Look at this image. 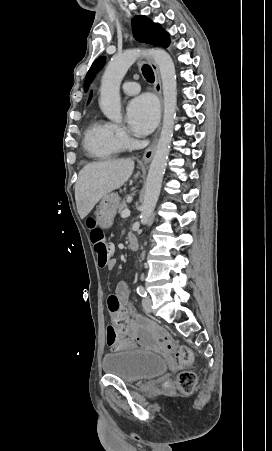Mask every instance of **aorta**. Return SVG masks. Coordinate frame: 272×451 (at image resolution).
Here are the masks:
<instances>
[{"label": "aorta", "instance_id": "aorta-1", "mask_svg": "<svg viewBox=\"0 0 272 451\" xmlns=\"http://www.w3.org/2000/svg\"><path fill=\"white\" fill-rule=\"evenodd\" d=\"M141 56H151L157 64L162 80L164 102L163 126L150 164L140 216L142 224H147L158 202L176 116L177 82L171 56L165 50H147V52H144V50H127L120 56H113L101 78L99 108L111 122H121L119 86L127 70Z\"/></svg>", "mask_w": 272, "mask_h": 451}]
</instances>
